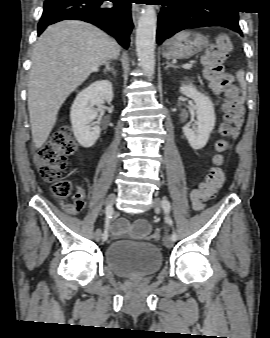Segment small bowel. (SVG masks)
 <instances>
[{"mask_svg":"<svg viewBox=\"0 0 270 338\" xmlns=\"http://www.w3.org/2000/svg\"><path fill=\"white\" fill-rule=\"evenodd\" d=\"M81 200V196L79 194L73 197V201ZM126 227V223L122 222H114L111 227L112 236L118 238L122 234V229ZM131 236L135 239L139 240H149L150 236V227L145 220H137L134 223L133 230L131 232Z\"/></svg>","mask_w":270,"mask_h":338,"instance_id":"c3829d8e","label":"small bowel"}]
</instances>
